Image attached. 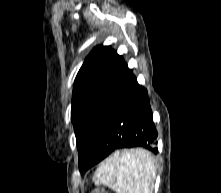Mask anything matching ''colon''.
Masks as SVG:
<instances>
[{
    "mask_svg": "<svg viewBox=\"0 0 221 193\" xmlns=\"http://www.w3.org/2000/svg\"><path fill=\"white\" fill-rule=\"evenodd\" d=\"M92 193H107V192H105L104 190H95Z\"/></svg>",
    "mask_w": 221,
    "mask_h": 193,
    "instance_id": "5ec220e1",
    "label": "colon"
}]
</instances>
